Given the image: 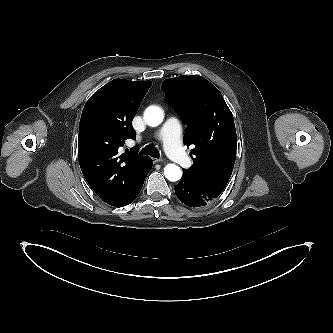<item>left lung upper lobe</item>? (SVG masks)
<instances>
[{
    "instance_id": "left-lung-upper-lobe-1",
    "label": "left lung upper lobe",
    "mask_w": 333,
    "mask_h": 333,
    "mask_svg": "<svg viewBox=\"0 0 333 333\" xmlns=\"http://www.w3.org/2000/svg\"><path fill=\"white\" fill-rule=\"evenodd\" d=\"M166 102L187 124L185 144L194 148L193 166L183 175L216 198L233 171L237 136L233 115L222 94L200 76L182 75L163 81Z\"/></svg>"
}]
</instances>
